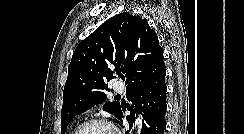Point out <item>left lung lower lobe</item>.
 I'll return each mask as SVG.
<instances>
[{"label":"left lung lower lobe","instance_id":"0a47b994","mask_svg":"<svg viewBox=\"0 0 244 134\" xmlns=\"http://www.w3.org/2000/svg\"><path fill=\"white\" fill-rule=\"evenodd\" d=\"M166 84L161 82L154 86H149L139 91L126 92V97L132 102L130 108L133 111L144 113V122L141 134H164L166 128L165 113H166ZM123 113L118 116L122 121ZM129 127L131 128L135 122L134 112L127 116Z\"/></svg>","mask_w":244,"mask_h":134}]
</instances>
